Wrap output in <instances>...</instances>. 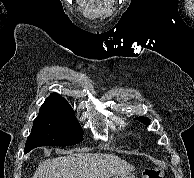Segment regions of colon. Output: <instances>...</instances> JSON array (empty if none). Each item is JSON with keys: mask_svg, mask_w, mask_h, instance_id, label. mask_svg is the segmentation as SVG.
I'll list each match as a JSON object with an SVG mask.
<instances>
[{"mask_svg": "<svg viewBox=\"0 0 194 178\" xmlns=\"http://www.w3.org/2000/svg\"><path fill=\"white\" fill-rule=\"evenodd\" d=\"M143 178H164V170L159 167H148L143 172Z\"/></svg>", "mask_w": 194, "mask_h": 178, "instance_id": "1", "label": "colon"}]
</instances>
